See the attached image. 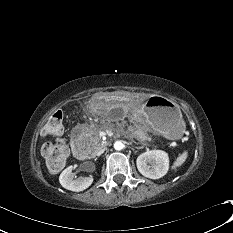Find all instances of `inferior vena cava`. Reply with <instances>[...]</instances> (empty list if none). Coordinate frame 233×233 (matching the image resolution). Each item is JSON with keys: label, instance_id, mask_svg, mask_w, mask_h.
<instances>
[{"label": "inferior vena cava", "instance_id": "602c4592", "mask_svg": "<svg viewBox=\"0 0 233 233\" xmlns=\"http://www.w3.org/2000/svg\"><path fill=\"white\" fill-rule=\"evenodd\" d=\"M104 151H105V149H100L97 151L96 155L100 156Z\"/></svg>", "mask_w": 233, "mask_h": 233}]
</instances>
